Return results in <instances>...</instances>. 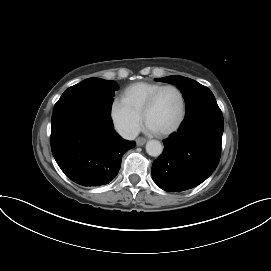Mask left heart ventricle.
Instances as JSON below:
<instances>
[{
  "instance_id": "left-heart-ventricle-1",
  "label": "left heart ventricle",
  "mask_w": 271,
  "mask_h": 271,
  "mask_svg": "<svg viewBox=\"0 0 271 271\" xmlns=\"http://www.w3.org/2000/svg\"><path fill=\"white\" fill-rule=\"evenodd\" d=\"M180 114V98L176 91L167 89L163 91L147 117L158 132L169 129L177 121Z\"/></svg>"
}]
</instances>
